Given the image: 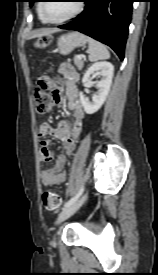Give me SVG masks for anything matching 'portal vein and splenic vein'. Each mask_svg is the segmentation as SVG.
<instances>
[{
	"instance_id": "obj_1",
	"label": "portal vein and splenic vein",
	"mask_w": 158,
	"mask_h": 275,
	"mask_svg": "<svg viewBox=\"0 0 158 275\" xmlns=\"http://www.w3.org/2000/svg\"><path fill=\"white\" fill-rule=\"evenodd\" d=\"M78 59H82V55H77L76 56Z\"/></svg>"
}]
</instances>
